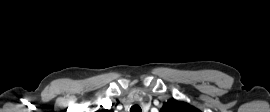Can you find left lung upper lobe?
I'll return each instance as SVG.
<instances>
[{
  "mask_svg": "<svg viewBox=\"0 0 270 112\" xmlns=\"http://www.w3.org/2000/svg\"><path fill=\"white\" fill-rule=\"evenodd\" d=\"M160 112H201L189 104L181 101H168L165 103Z\"/></svg>",
  "mask_w": 270,
  "mask_h": 112,
  "instance_id": "1",
  "label": "left lung upper lobe"
}]
</instances>
